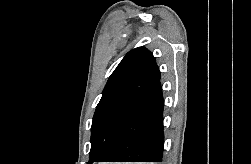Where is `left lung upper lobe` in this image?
<instances>
[{"mask_svg": "<svg viewBox=\"0 0 251 164\" xmlns=\"http://www.w3.org/2000/svg\"><path fill=\"white\" fill-rule=\"evenodd\" d=\"M160 79L152 53L138 47L128 52L107 81L91 127L88 164L105 160L118 130L134 103Z\"/></svg>", "mask_w": 251, "mask_h": 164, "instance_id": "5c2ea615", "label": "left lung upper lobe"}]
</instances>
